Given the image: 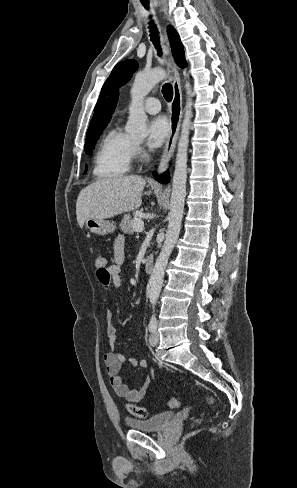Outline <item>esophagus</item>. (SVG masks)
Returning a JSON list of instances; mask_svg holds the SVG:
<instances>
[{"mask_svg":"<svg viewBox=\"0 0 297 488\" xmlns=\"http://www.w3.org/2000/svg\"><path fill=\"white\" fill-rule=\"evenodd\" d=\"M165 40L167 44L166 52L171 57V49L166 34V28H165ZM171 66L174 71V76H173V99L170 106V134L167 138L164 147V152L158 166L159 173H163L168 168L169 161L175 151L176 141L178 139L181 117H182V91L180 85V78H179L178 70L173 62L172 57H171Z\"/></svg>","mask_w":297,"mask_h":488,"instance_id":"esophagus-1","label":"esophagus"}]
</instances>
